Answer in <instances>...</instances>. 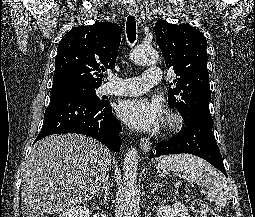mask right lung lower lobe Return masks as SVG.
Returning <instances> with one entry per match:
<instances>
[{"label":"right lung lower lobe","mask_w":255,"mask_h":217,"mask_svg":"<svg viewBox=\"0 0 255 217\" xmlns=\"http://www.w3.org/2000/svg\"><path fill=\"white\" fill-rule=\"evenodd\" d=\"M44 119L34 143L52 134L77 133L95 138L114 152L122 144V127L108 101L94 103L72 94H53Z\"/></svg>","instance_id":"obj_1"}]
</instances>
